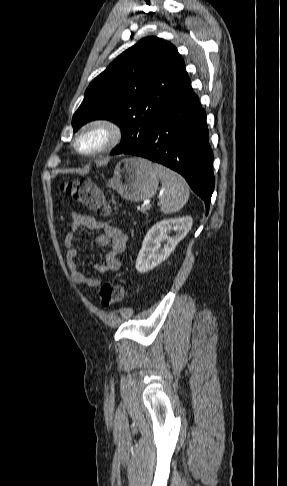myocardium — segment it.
Returning a JSON list of instances; mask_svg holds the SVG:
<instances>
[{"label": "myocardium", "instance_id": "1", "mask_svg": "<svg viewBox=\"0 0 287 486\" xmlns=\"http://www.w3.org/2000/svg\"><path fill=\"white\" fill-rule=\"evenodd\" d=\"M101 132L104 135L103 143L91 150H85L80 147V141L83 137L92 132ZM123 132L121 127L115 121L108 118H96L87 122L77 133L74 138V149L81 155L94 157L111 151L121 141Z\"/></svg>", "mask_w": 287, "mask_h": 486}]
</instances>
